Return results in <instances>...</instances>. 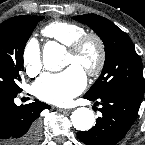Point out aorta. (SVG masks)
Here are the masks:
<instances>
[{"label":"aorta","instance_id":"762f6f07","mask_svg":"<svg viewBox=\"0 0 145 145\" xmlns=\"http://www.w3.org/2000/svg\"><path fill=\"white\" fill-rule=\"evenodd\" d=\"M66 49L57 42L50 41L43 48V64L49 71H59L65 67L63 62ZM71 122L75 129L79 131H88L95 123V117L92 110L81 107L72 112Z\"/></svg>","mask_w":145,"mask_h":145}]
</instances>
